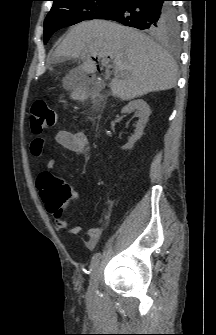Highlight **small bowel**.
Wrapping results in <instances>:
<instances>
[{"label":"small bowel","instance_id":"c3829d8e","mask_svg":"<svg viewBox=\"0 0 216 335\" xmlns=\"http://www.w3.org/2000/svg\"><path fill=\"white\" fill-rule=\"evenodd\" d=\"M55 140L58 145L69 151L82 155L86 154L87 152L88 140L83 132H70L67 130H60L57 132ZM44 146L45 139L43 137L38 136L34 138L30 145L31 154L34 157H40L43 152ZM54 167V160H49L46 163V169L38 175L36 182L37 189L39 191L42 201L46 206L47 211L53 215L56 226L59 229H65L68 230L71 234L77 235L82 231V227L77 224L69 225L61 214V206L57 205V200L54 199V197L51 195L46 196L50 193L52 185L55 182V177L52 173ZM71 196L73 199H78V194L75 191L71 193ZM101 234L102 227L95 226L89 228L87 232V239L84 240V245L88 249L95 248L99 238L101 237Z\"/></svg>","mask_w":216,"mask_h":335}]
</instances>
